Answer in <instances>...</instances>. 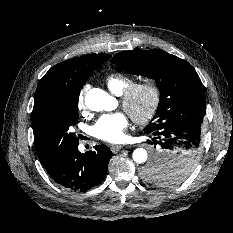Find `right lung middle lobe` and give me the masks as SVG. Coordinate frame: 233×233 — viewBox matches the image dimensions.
<instances>
[{
  "label": "right lung middle lobe",
  "mask_w": 233,
  "mask_h": 233,
  "mask_svg": "<svg viewBox=\"0 0 233 233\" xmlns=\"http://www.w3.org/2000/svg\"><path fill=\"white\" fill-rule=\"evenodd\" d=\"M79 94L53 99L32 112L33 133L38 156H45L79 143L72 132L78 123Z\"/></svg>",
  "instance_id": "right-lung-middle-lobe-1"
}]
</instances>
